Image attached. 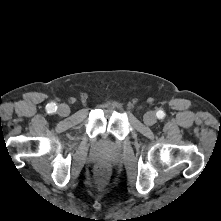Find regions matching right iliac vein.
<instances>
[{
  "label": "right iliac vein",
  "instance_id": "obj_1",
  "mask_svg": "<svg viewBox=\"0 0 221 221\" xmlns=\"http://www.w3.org/2000/svg\"><path fill=\"white\" fill-rule=\"evenodd\" d=\"M69 113H70V109H69L68 105H66V104L59 105V107H58V114L61 117H66V116L69 115Z\"/></svg>",
  "mask_w": 221,
  "mask_h": 221
}]
</instances>
